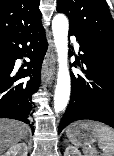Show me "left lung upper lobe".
Wrapping results in <instances>:
<instances>
[{
	"label": "left lung upper lobe",
	"instance_id": "5c2ea615",
	"mask_svg": "<svg viewBox=\"0 0 114 156\" xmlns=\"http://www.w3.org/2000/svg\"><path fill=\"white\" fill-rule=\"evenodd\" d=\"M69 17V31L114 56V21L105 0H58Z\"/></svg>",
	"mask_w": 114,
	"mask_h": 156
}]
</instances>
